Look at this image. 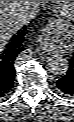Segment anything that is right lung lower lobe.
<instances>
[{
  "label": "right lung lower lobe",
  "mask_w": 74,
  "mask_h": 122,
  "mask_svg": "<svg viewBox=\"0 0 74 122\" xmlns=\"http://www.w3.org/2000/svg\"><path fill=\"white\" fill-rule=\"evenodd\" d=\"M24 29L7 46L3 53H0V98L6 96L14 87V61L18 54L25 50Z\"/></svg>",
  "instance_id": "right-lung-lower-lobe-1"
}]
</instances>
